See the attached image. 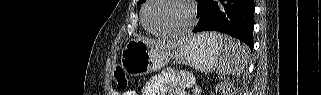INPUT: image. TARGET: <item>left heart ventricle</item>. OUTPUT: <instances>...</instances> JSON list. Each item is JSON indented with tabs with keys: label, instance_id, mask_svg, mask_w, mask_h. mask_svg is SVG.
I'll use <instances>...</instances> for the list:
<instances>
[{
	"label": "left heart ventricle",
	"instance_id": "left-heart-ventricle-1",
	"mask_svg": "<svg viewBox=\"0 0 321 95\" xmlns=\"http://www.w3.org/2000/svg\"><path fill=\"white\" fill-rule=\"evenodd\" d=\"M147 19L154 30L176 31L188 24L189 10L181 0H158L150 7Z\"/></svg>",
	"mask_w": 321,
	"mask_h": 95
}]
</instances>
